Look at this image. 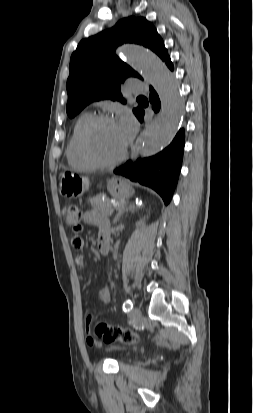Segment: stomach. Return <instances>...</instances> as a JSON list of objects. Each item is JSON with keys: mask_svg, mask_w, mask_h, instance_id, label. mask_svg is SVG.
Returning <instances> with one entry per match:
<instances>
[{"mask_svg": "<svg viewBox=\"0 0 253 413\" xmlns=\"http://www.w3.org/2000/svg\"><path fill=\"white\" fill-rule=\"evenodd\" d=\"M89 179L73 172H63L60 178L59 192L69 198L81 197L89 189ZM107 189L116 199H127L134 190L130 184L122 178H112L108 181Z\"/></svg>", "mask_w": 253, "mask_h": 413, "instance_id": "0dacf381", "label": "stomach"}]
</instances>
